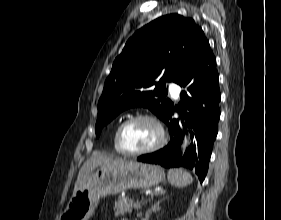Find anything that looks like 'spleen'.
Here are the masks:
<instances>
[{
    "label": "spleen",
    "mask_w": 281,
    "mask_h": 220,
    "mask_svg": "<svg viewBox=\"0 0 281 220\" xmlns=\"http://www.w3.org/2000/svg\"><path fill=\"white\" fill-rule=\"evenodd\" d=\"M169 182L177 187H185L193 182L192 175L182 168L169 169L168 172Z\"/></svg>",
    "instance_id": "3e777b00"
}]
</instances>
